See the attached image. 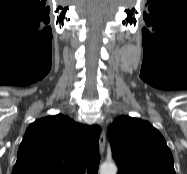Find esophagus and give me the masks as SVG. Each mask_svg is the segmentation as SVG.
<instances>
[{
  "label": "esophagus",
  "mask_w": 187,
  "mask_h": 174,
  "mask_svg": "<svg viewBox=\"0 0 187 174\" xmlns=\"http://www.w3.org/2000/svg\"><path fill=\"white\" fill-rule=\"evenodd\" d=\"M105 141H106L105 132L104 130H102L100 137H99V149H100L101 154H103L105 150Z\"/></svg>",
  "instance_id": "34e87169"
}]
</instances>
